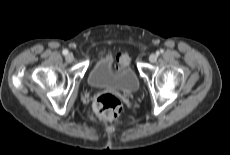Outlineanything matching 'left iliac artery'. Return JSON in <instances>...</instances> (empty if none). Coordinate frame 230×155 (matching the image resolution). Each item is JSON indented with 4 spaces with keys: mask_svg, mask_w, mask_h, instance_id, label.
<instances>
[{
    "mask_svg": "<svg viewBox=\"0 0 230 155\" xmlns=\"http://www.w3.org/2000/svg\"><path fill=\"white\" fill-rule=\"evenodd\" d=\"M163 52H164V50L161 49L160 51L157 52V54H160V53H163Z\"/></svg>",
    "mask_w": 230,
    "mask_h": 155,
    "instance_id": "obj_1",
    "label": "left iliac artery"
}]
</instances>
